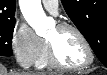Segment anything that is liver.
<instances>
[{"label": "liver", "instance_id": "6515ba94", "mask_svg": "<svg viewBox=\"0 0 107 75\" xmlns=\"http://www.w3.org/2000/svg\"><path fill=\"white\" fill-rule=\"evenodd\" d=\"M0 75H8L7 70L4 67L0 68ZM12 75H44V74H31L26 72H17Z\"/></svg>", "mask_w": 107, "mask_h": 75}]
</instances>
